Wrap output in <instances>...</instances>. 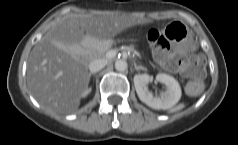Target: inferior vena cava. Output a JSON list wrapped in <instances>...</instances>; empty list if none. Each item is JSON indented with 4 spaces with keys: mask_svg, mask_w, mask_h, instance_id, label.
Returning a JSON list of instances; mask_svg holds the SVG:
<instances>
[{
    "mask_svg": "<svg viewBox=\"0 0 238 145\" xmlns=\"http://www.w3.org/2000/svg\"><path fill=\"white\" fill-rule=\"evenodd\" d=\"M106 64H107L106 59H95L90 62L89 70L91 73H96L100 71L101 69H103L106 66Z\"/></svg>",
    "mask_w": 238,
    "mask_h": 145,
    "instance_id": "obj_1",
    "label": "inferior vena cava"
}]
</instances>
